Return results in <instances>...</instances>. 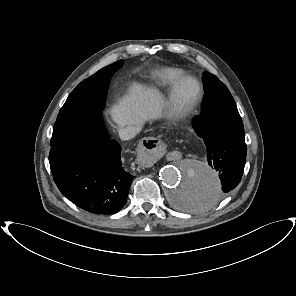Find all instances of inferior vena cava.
<instances>
[{
	"label": "inferior vena cava",
	"mask_w": 296,
	"mask_h": 296,
	"mask_svg": "<svg viewBox=\"0 0 296 296\" xmlns=\"http://www.w3.org/2000/svg\"><path fill=\"white\" fill-rule=\"evenodd\" d=\"M142 127L140 125H128L119 129V136L122 140H130L140 132Z\"/></svg>",
	"instance_id": "602c4592"
}]
</instances>
